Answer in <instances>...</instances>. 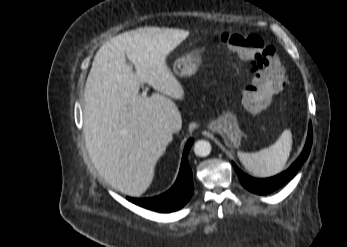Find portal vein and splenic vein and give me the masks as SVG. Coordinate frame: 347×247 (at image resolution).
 Segmentation results:
<instances>
[{"label":"portal vein and splenic vein","mask_w":347,"mask_h":247,"mask_svg":"<svg viewBox=\"0 0 347 247\" xmlns=\"http://www.w3.org/2000/svg\"><path fill=\"white\" fill-rule=\"evenodd\" d=\"M146 94H147L146 91H143V92H142V97L145 98V97H146Z\"/></svg>","instance_id":"obj_1"}]
</instances>
